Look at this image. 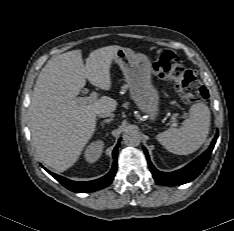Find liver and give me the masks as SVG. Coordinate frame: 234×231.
I'll list each match as a JSON object with an SVG mask.
<instances>
[{"label":"liver","mask_w":234,"mask_h":231,"mask_svg":"<svg viewBox=\"0 0 234 231\" xmlns=\"http://www.w3.org/2000/svg\"><path fill=\"white\" fill-rule=\"evenodd\" d=\"M122 47L112 45L92 51L84 65L81 50L50 60L41 70L29 106L32 143L40 160L56 172L73 166L92 138L99 112H114L117 102L107 96L88 103L76 97L88 81L110 90V68Z\"/></svg>","instance_id":"6515ba94"}]
</instances>
